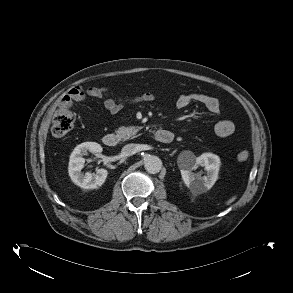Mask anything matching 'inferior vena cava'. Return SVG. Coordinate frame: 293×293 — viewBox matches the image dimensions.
<instances>
[{"label":"inferior vena cava","instance_id":"1","mask_svg":"<svg viewBox=\"0 0 293 293\" xmlns=\"http://www.w3.org/2000/svg\"><path fill=\"white\" fill-rule=\"evenodd\" d=\"M137 151H138V148L136 144H127L122 148L121 153L124 156H131L137 153Z\"/></svg>","mask_w":293,"mask_h":293}]
</instances>
